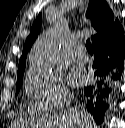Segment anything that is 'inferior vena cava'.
<instances>
[{"label": "inferior vena cava", "instance_id": "inferior-vena-cava-1", "mask_svg": "<svg viewBox=\"0 0 125 128\" xmlns=\"http://www.w3.org/2000/svg\"><path fill=\"white\" fill-rule=\"evenodd\" d=\"M71 119H72V122H73L74 125H79V119H78L77 115L72 114ZM69 127L70 128H75L77 126H69Z\"/></svg>", "mask_w": 125, "mask_h": 128}]
</instances>
